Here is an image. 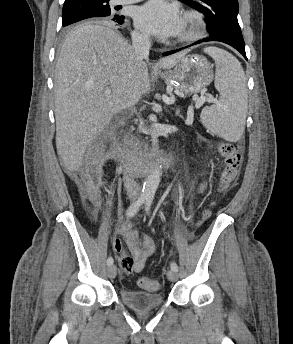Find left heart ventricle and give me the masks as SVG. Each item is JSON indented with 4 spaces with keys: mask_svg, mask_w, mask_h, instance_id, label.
I'll list each match as a JSON object with an SVG mask.
<instances>
[{
    "mask_svg": "<svg viewBox=\"0 0 293 344\" xmlns=\"http://www.w3.org/2000/svg\"><path fill=\"white\" fill-rule=\"evenodd\" d=\"M187 29H188V27H187V25L184 23V24H183V27H182V30H181V32L179 33V35L185 33V32L187 31Z\"/></svg>",
    "mask_w": 293,
    "mask_h": 344,
    "instance_id": "b2bd125f",
    "label": "left heart ventricle"
}]
</instances>
